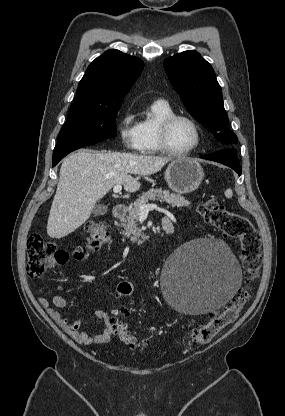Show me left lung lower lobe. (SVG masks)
Returning <instances> with one entry per match:
<instances>
[{
    "instance_id": "left-lung-lower-lobe-1",
    "label": "left lung lower lobe",
    "mask_w": 285,
    "mask_h": 416,
    "mask_svg": "<svg viewBox=\"0 0 285 416\" xmlns=\"http://www.w3.org/2000/svg\"><path fill=\"white\" fill-rule=\"evenodd\" d=\"M201 158L219 162L226 166H229L233 170H235L239 175H241L242 173V170H241L238 158H237V154L234 149L218 151V152L206 155V156H202Z\"/></svg>"
}]
</instances>
